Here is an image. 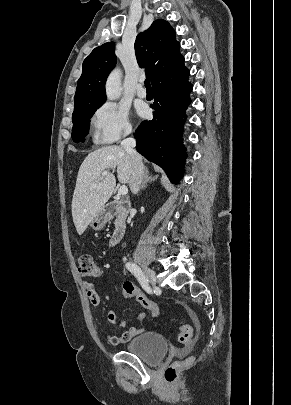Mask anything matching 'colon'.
Here are the masks:
<instances>
[{
    "mask_svg": "<svg viewBox=\"0 0 291 405\" xmlns=\"http://www.w3.org/2000/svg\"><path fill=\"white\" fill-rule=\"evenodd\" d=\"M78 272L82 277L95 278L101 273L99 264L95 261L92 255L84 253L78 258ZM123 295L127 298H135L145 309L149 310L154 317L160 314L159 305L147 298L134 284L131 282L124 283ZM178 337L181 343L190 344L193 341V328L190 325H182L179 327ZM191 362V359L175 362L166 368L164 372L165 380L168 383H173L177 379L178 371L182 366H186Z\"/></svg>",
    "mask_w": 291,
    "mask_h": 405,
    "instance_id": "1",
    "label": "colon"
}]
</instances>
